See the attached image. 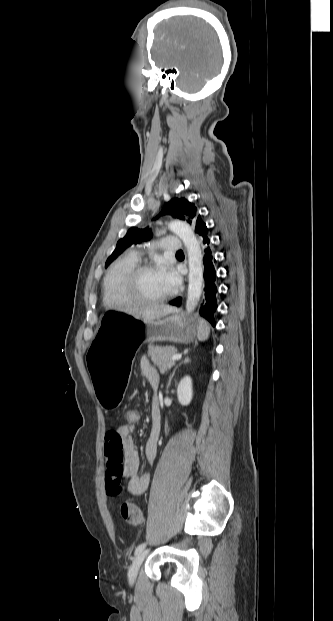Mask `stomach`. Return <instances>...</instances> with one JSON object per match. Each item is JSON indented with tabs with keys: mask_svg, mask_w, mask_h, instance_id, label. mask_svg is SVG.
Returning <instances> with one entry per match:
<instances>
[{
	"mask_svg": "<svg viewBox=\"0 0 333 621\" xmlns=\"http://www.w3.org/2000/svg\"><path fill=\"white\" fill-rule=\"evenodd\" d=\"M198 332V320L181 322L178 310L163 319L146 322L133 314L108 311L101 316L97 335L88 345V362L96 394L106 412H115L128 385V368L142 343H189Z\"/></svg>",
	"mask_w": 333,
	"mask_h": 621,
	"instance_id": "stomach-1",
	"label": "stomach"
}]
</instances>
